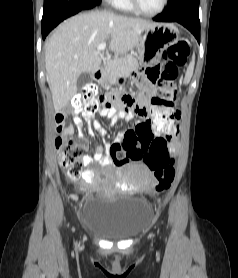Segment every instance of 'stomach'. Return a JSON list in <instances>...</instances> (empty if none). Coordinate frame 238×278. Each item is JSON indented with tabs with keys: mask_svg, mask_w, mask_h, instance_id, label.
<instances>
[{
	"mask_svg": "<svg viewBox=\"0 0 238 278\" xmlns=\"http://www.w3.org/2000/svg\"><path fill=\"white\" fill-rule=\"evenodd\" d=\"M178 40L179 30L173 24L156 23L146 29L139 43L140 63L149 66L154 64V59L159 62L163 51L177 43ZM127 79H129V74H120V77H118L119 85H122V82H127ZM108 81V75L106 74L97 79V82L101 84H106Z\"/></svg>",
	"mask_w": 238,
	"mask_h": 278,
	"instance_id": "1",
	"label": "stomach"
}]
</instances>
